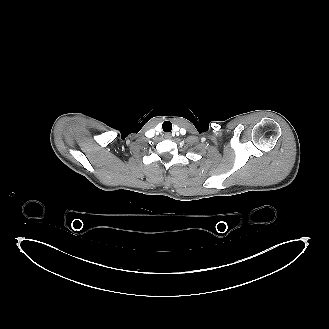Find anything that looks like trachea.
Here are the masks:
<instances>
[{
	"mask_svg": "<svg viewBox=\"0 0 329 329\" xmlns=\"http://www.w3.org/2000/svg\"><path fill=\"white\" fill-rule=\"evenodd\" d=\"M164 132H170L172 130V124L169 121H165L162 125Z\"/></svg>",
	"mask_w": 329,
	"mask_h": 329,
	"instance_id": "3493384b",
	"label": "trachea"
}]
</instances>
